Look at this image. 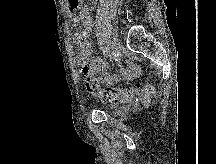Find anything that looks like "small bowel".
<instances>
[{
	"mask_svg": "<svg viewBox=\"0 0 216 164\" xmlns=\"http://www.w3.org/2000/svg\"><path fill=\"white\" fill-rule=\"evenodd\" d=\"M74 26H82L81 31L74 32L73 40L78 47L76 54V63L83 69H87L91 74L97 75L102 81L112 83L115 77L110 75L108 65L100 57H93L92 47L89 42L85 40L87 35L92 31L93 21L90 14L89 7L83 8L79 15L72 19ZM135 73V68L125 70L123 72L125 77H132Z\"/></svg>",
	"mask_w": 216,
	"mask_h": 164,
	"instance_id": "obj_1",
	"label": "small bowel"
}]
</instances>
